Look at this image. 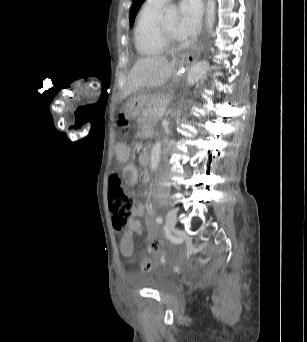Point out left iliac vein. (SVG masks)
<instances>
[{
  "label": "left iliac vein",
  "mask_w": 307,
  "mask_h": 342,
  "mask_svg": "<svg viewBox=\"0 0 307 342\" xmlns=\"http://www.w3.org/2000/svg\"><path fill=\"white\" fill-rule=\"evenodd\" d=\"M176 223H177L176 213L173 211H169L166 216V225L169 228V230L173 231Z\"/></svg>",
  "instance_id": "obj_1"
}]
</instances>
